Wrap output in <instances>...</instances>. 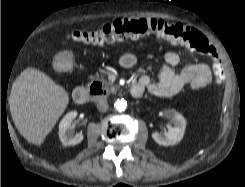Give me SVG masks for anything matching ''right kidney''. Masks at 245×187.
Masks as SVG:
<instances>
[{
  "label": "right kidney",
  "instance_id": "right-kidney-1",
  "mask_svg": "<svg viewBox=\"0 0 245 187\" xmlns=\"http://www.w3.org/2000/svg\"><path fill=\"white\" fill-rule=\"evenodd\" d=\"M77 111L67 113L59 123V138L64 146H74L82 142L84 136L75 134L72 128V121L77 117Z\"/></svg>",
  "mask_w": 245,
  "mask_h": 187
}]
</instances>
